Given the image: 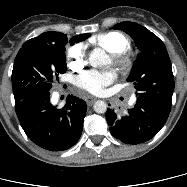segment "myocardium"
Instances as JSON below:
<instances>
[{"label": "myocardium", "instance_id": "obj_1", "mask_svg": "<svg viewBox=\"0 0 187 187\" xmlns=\"http://www.w3.org/2000/svg\"><path fill=\"white\" fill-rule=\"evenodd\" d=\"M112 59L115 65L121 70H127L131 66V59L126 53H117L112 55Z\"/></svg>", "mask_w": 187, "mask_h": 187}]
</instances>
